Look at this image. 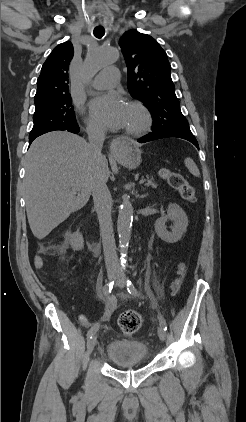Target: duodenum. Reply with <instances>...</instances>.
I'll list each match as a JSON object with an SVG mask.
<instances>
[{
  "label": "duodenum",
  "mask_w": 246,
  "mask_h": 422,
  "mask_svg": "<svg viewBox=\"0 0 246 422\" xmlns=\"http://www.w3.org/2000/svg\"><path fill=\"white\" fill-rule=\"evenodd\" d=\"M93 250L94 252H98L99 251V245L97 243H93Z\"/></svg>",
  "instance_id": "410a0bca"
}]
</instances>
